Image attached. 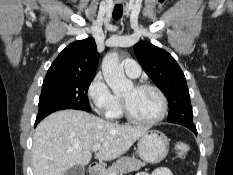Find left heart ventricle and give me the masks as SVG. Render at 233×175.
I'll use <instances>...</instances> for the list:
<instances>
[{"label": "left heart ventricle", "instance_id": "b2bd125f", "mask_svg": "<svg viewBox=\"0 0 233 175\" xmlns=\"http://www.w3.org/2000/svg\"><path fill=\"white\" fill-rule=\"evenodd\" d=\"M121 97L127 101L132 114L139 119L151 120L160 114L161 100L153 90H136L131 87Z\"/></svg>", "mask_w": 233, "mask_h": 175}]
</instances>
